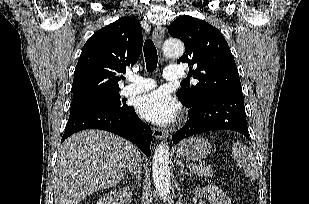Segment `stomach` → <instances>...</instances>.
<instances>
[{
	"label": "stomach",
	"mask_w": 309,
	"mask_h": 204,
	"mask_svg": "<svg viewBox=\"0 0 309 204\" xmlns=\"http://www.w3.org/2000/svg\"><path fill=\"white\" fill-rule=\"evenodd\" d=\"M211 144L202 137H191L181 141L176 147L179 158L186 160H201L211 151Z\"/></svg>",
	"instance_id": "obj_1"
}]
</instances>
